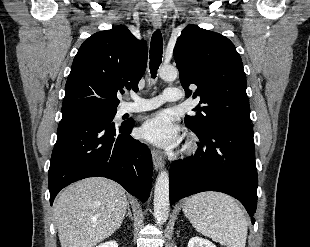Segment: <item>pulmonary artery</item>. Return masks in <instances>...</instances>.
I'll list each match as a JSON object with an SVG mask.
<instances>
[{
	"instance_id": "1",
	"label": "pulmonary artery",
	"mask_w": 310,
	"mask_h": 247,
	"mask_svg": "<svg viewBox=\"0 0 310 247\" xmlns=\"http://www.w3.org/2000/svg\"><path fill=\"white\" fill-rule=\"evenodd\" d=\"M182 98V92L177 87H167L164 92L156 97L150 99H144L137 96H133L132 102H125L121 105L119 112L121 114L142 112L154 109L164 102L178 101Z\"/></svg>"
}]
</instances>
